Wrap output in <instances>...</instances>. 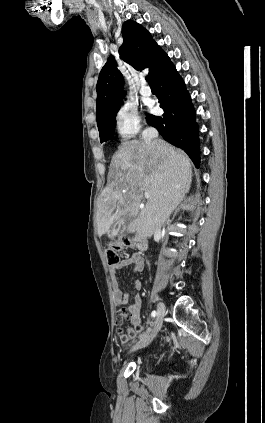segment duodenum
<instances>
[{
    "label": "duodenum",
    "instance_id": "410a0bca",
    "mask_svg": "<svg viewBox=\"0 0 265 423\" xmlns=\"http://www.w3.org/2000/svg\"><path fill=\"white\" fill-rule=\"evenodd\" d=\"M134 241L140 251H145L147 249V243L141 236H135Z\"/></svg>",
    "mask_w": 265,
    "mask_h": 423
}]
</instances>
